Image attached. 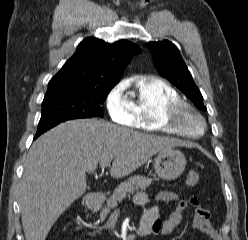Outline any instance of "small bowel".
Listing matches in <instances>:
<instances>
[{"mask_svg": "<svg viewBox=\"0 0 248 240\" xmlns=\"http://www.w3.org/2000/svg\"><path fill=\"white\" fill-rule=\"evenodd\" d=\"M157 202L178 201L175 211L165 220L160 219V209L157 205L152 204V199L144 192H139L134 197V202L139 206L145 207V212L141 220V225L150 226L147 235L171 234L181 223L183 212L192 206L194 217L192 227L212 240H218L219 234L214 226L210 223V212L199 205L197 198L191 196L181 198L179 194L172 191H160L154 198Z\"/></svg>", "mask_w": 248, "mask_h": 240, "instance_id": "c3829d8e", "label": "small bowel"}]
</instances>
